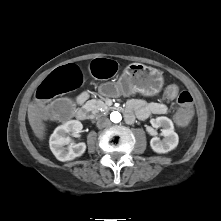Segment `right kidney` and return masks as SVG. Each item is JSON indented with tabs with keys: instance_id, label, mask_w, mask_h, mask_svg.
I'll use <instances>...</instances> for the list:
<instances>
[{
	"instance_id": "right-kidney-1",
	"label": "right kidney",
	"mask_w": 221,
	"mask_h": 221,
	"mask_svg": "<svg viewBox=\"0 0 221 221\" xmlns=\"http://www.w3.org/2000/svg\"><path fill=\"white\" fill-rule=\"evenodd\" d=\"M83 125L78 120H70L58 126L50 136L49 145L52 153L59 161H70L76 157L82 156L86 150V144L81 142L77 144L71 143L72 134L76 136L81 132ZM65 145H68L65 147Z\"/></svg>"
}]
</instances>
